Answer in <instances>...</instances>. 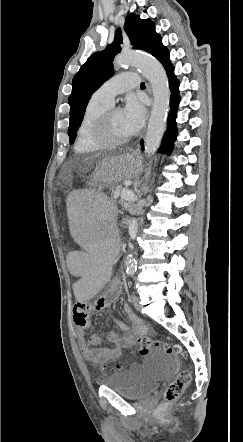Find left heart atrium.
I'll list each match as a JSON object with an SVG mask.
<instances>
[{
  "label": "left heart atrium",
  "mask_w": 243,
  "mask_h": 442,
  "mask_svg": "<svg viewBox=\"0 0 243 442\" xmlns=\"http://www.w3.org/2000/svg\"><path fill=\"white\" fill-rule=\"evenodd\" d=\"M124 121L131 134L137 133L145 121V108L135 99H129L122 111Z\"/></svg>",
  "instance_id": "1"
}]
</instances>
